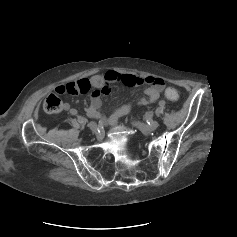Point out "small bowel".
<instances>
[{
  "label": "small bowel",
  "mask_w": 237,
  "mask_h": 237,
  "mask_svg": "<svg viewBox=\"0 0 237 237\" xmlns=\"http://www.w3.org/2000/svg\"><path fill=\"white\" fill-rule=\"evenodd\" d=\"M113 82H121L129 87L143 84L147 85L145 89L146 96L137 101L138 106H146L157 101L165 86L164 81L159 77H138L132 74H123L110 70L103 75H94L90 78H81L76 81L58 85L55 91L58 94H90V105L87 108V114L93 117L98 114L97 112L101 108V96L111 93L110 84ZM63 106L66 110L70 108L68 103H65ZM131 109L132 106L128 104L121 106L108 118V124L116 126L119 119L127 115Z\"/></svg>",
  "instance_id": "c3829d8e"
}]
</instances>
